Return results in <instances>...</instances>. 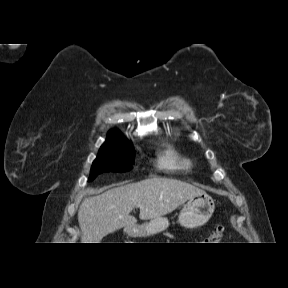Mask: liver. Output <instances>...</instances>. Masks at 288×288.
Here are the masks:
<instances>
[{
	"label": "liver",
	"mask_w": 288,
	"mask_h": 288,
	"mask_svg": "<svg viewBox=\"0 0 288 288\" xmlns=\"http://www.w3.org/2000/svg\"><path fill=\"white\" fill-rule=\"evenodd\" d=\"M201 189L172 178L153 177L118 186L94 197L85 198L78 210L83 243H100L104 236L120 228L136 226L130 215L140 209L141 220H152L171 213Z\"/></svg>",
	"instance_id": "liver-1"
}]
</instances>
